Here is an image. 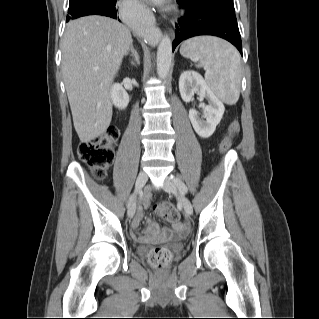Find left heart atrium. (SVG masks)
<instances>
[{"label":"left heart atrium","instance_id":"obj_1","mask_svg":"<svg viewBox=\"0 0 319 319\" xmlns=\"http://www.w3.org/2000/svg\"><path fill=\"white\" fill-rule=\"evenodd\" d=\"M154 1L161 3V2H163L165 0H154Z\"/></svg>","mask_w":319,"mask_h":319}]
</instances>
